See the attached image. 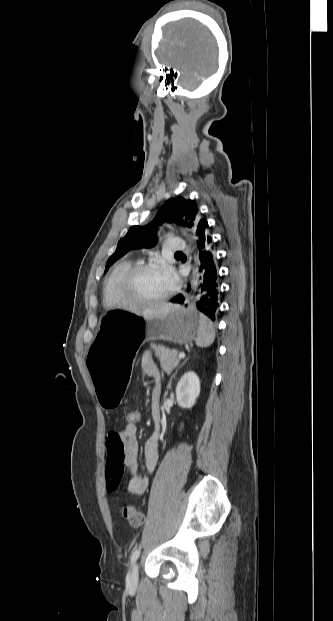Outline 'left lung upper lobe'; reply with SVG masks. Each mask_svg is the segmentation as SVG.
I'll return each mask as SVG.
<instances>
[{"instance_id":"5c2ea615","label":"left lung upper lobe","mask_w":333,"mask_h":621,"mask_svg":"<svg viewBox=\"0 0 333 621\" xmlns=\"http://www.w3.org/2000/svg\"><path fill=\"white\" fill-rule=\"evenodd\" d=\"M165 221L187 226L194 231L208 224L200 217L198 206L194 201L184 197L169 199L148 225L132 226L126 236L120 239L115 253L106 263L105 271L130 249L149 248L156 245L158 226Z\"/></svg>"}]
</instances>
